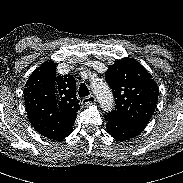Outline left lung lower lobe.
Listing matches in <instances>:
<instances>
[{
  "instance_id": "0a47b994",
  "label": "left lung lower lobe",
  "mask_w": 183,
  "mask_h": 183,
  "mask_svg": "<svg viewBox=\"0 0 183 183\" xmlns=\"http://www.w3.org/2000/svg\"><path fill=\"white\" fill-rule=\"evenodd\" d=\"M107 124V132L115 139L119 141H125L130 138L136 137L144 130V126L139 124H133L119 119H115L111 116H104Z\"/></svg>"
}]
</instances>
